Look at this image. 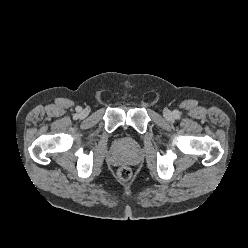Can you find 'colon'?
I'll use <instances>...</instances> for the list:
<instances>
[{
    "label": "colon",
    "instance_id": "5ec220e1",
    "mask_svg": "<svg viewBox=\"0 0 248 248\" xmlns=\"http://www.w3.org/2000/svg\"><path fill=\"white\" fill-rule=\"evenodd\" d=\"M132 176V171L127 166H122L117 171V177L121 181H128Z\"/></svg>",
    "mask_w": 248,
    "mask_h": 248
}]
</instances>
